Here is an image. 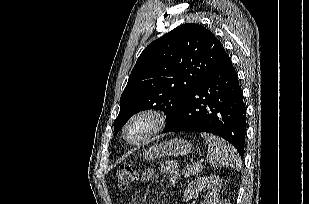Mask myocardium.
Instances as JSON below:
<instances>
[{
	"label": "myocardium",
	"mask_w": 309,
	"mask_h": 204,
	"mask_svg": "<svg viewBox=\"0 0 309 204\" xmlns=\"http://www.w3.org/2000/svg\"><path fill=\"white\" fill-rule=\"evenodd\" d=\"M143 119H147L151 122L150 130L142 138L138 140H130L127 134L129 127L133 123ZM165 125H166V115L162 110L157 108L142 109L134 113L124 124L122 129V136L124 140L130 145L134 146L141 145L147 142L157 133H159L165 127Z\"/></svg>",
	"instance_id": "myocardium-1"
}]
</instances>
